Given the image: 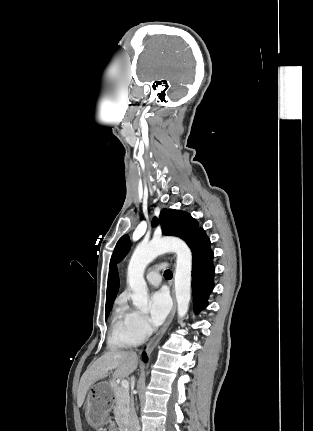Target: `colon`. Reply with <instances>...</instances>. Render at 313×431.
I'll list each match as a JSON object with an SVG mask.
<instances>
[{
	"instance_id": "obj_1",
	"label": "colon",
	"mask_w": 313,
	"mask_h": 431,
	"mask_svg": "<svg viewBox=\"0 0 313 431\" xmlns=\"http://www.w3.org/2000/svg\"><path fill=\"white\" fill-rule=\"evenodd\" d=\"M108 431H115V426H114V425H111V426L108 428Z\"/></svg>"
}]
</instances>
